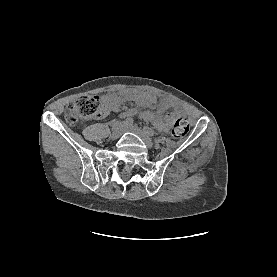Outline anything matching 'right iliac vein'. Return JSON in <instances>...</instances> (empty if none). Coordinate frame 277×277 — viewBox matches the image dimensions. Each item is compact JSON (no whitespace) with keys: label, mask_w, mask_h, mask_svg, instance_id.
Wrapping results in <instances>:
<instances>
[{"label":"right iliac vein","mask_w":277,"mask_h":277,"mask_svg":"<svg viewBox=\"0 0 277 277\" xmlns=\"http://www.w3.org/2000/svg\"><path fill=\"white\" fill-rule=\"evenodd\" d=\"M124 131V124L122 122L116 121L112 124V139H118Z\"/></svg>","instance_id":"63e3f726"}]
</instances>
